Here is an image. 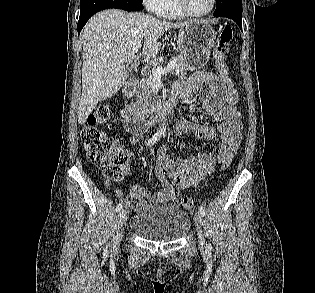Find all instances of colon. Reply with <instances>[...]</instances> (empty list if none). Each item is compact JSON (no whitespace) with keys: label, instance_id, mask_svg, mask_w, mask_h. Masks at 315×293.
<instances>
[{"label":"colon","instance_id":"obj_1","mask_svg":"<svg viewBox=\"0 0 315 293\" xmlns=\"http://www.w3.org/2000/svg\"><path fill=\"white\" fill-rule=\"evenodd\" d=\"M233 37V30L225 26L218 36L217 45L214 51V61L217 69V76L222 79L223 85H227L228 92L235 94L237 89L234 84L236 80L230 78V70L225 61L229 44ZM111 118V110L108 105L98 106L87 117L86 124L81 131V140L87 156L104 165V174L109 181H120L127 171L128 154L123 150L119 141L100 130L98 126L108 122ZM229 161H224L221 170L225 171ZM130 190H139L134 185ZM181 205L188 210L194 208V201L190 197H182Z\"/></svg>","mask_w":315,"mask_h":293}]
</instances>
